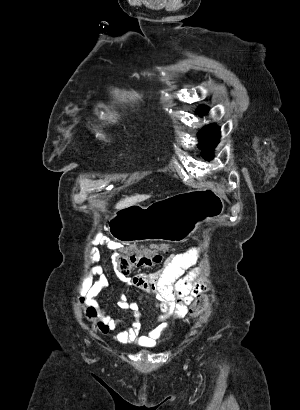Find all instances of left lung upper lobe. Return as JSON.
<instances>
[{"label": "left lung upper lobe", "instance_id": "1", "mask_svg": "<svg viewBox=\"0 0 300 410\" xmlns=\"http://www.w3.org/2000/svg\"><path fill=\"white\" fill-rule=\"evenodd\" d=\"M208 112V108L201 105L197 109V113L202 116ZM198 137L200 143L198 147L203 150L201 153L206 160H210L213 157V150L217 146L220 138V127L215 124L204 127L199 133Z\"/></svg>", "mask_w": 300, "mask_h": 410}]
</instances>
